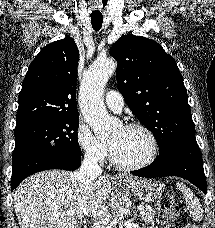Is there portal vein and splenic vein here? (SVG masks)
Instances as JSON below:
<instances>
[{
	"mask_svg": "<svg viewBox=\"0 0 215 228\" xmlns=\"http://www.w3.org/2000/svg\"><path fill=\"white\" fill-rule=\"evenodd\" d=\"M138 210L139 212H143V210H148V208H145V206H138ZM68 214H76V212H68ZM98 214L99 216H97V218H107L106 212H102V214L98 212Z\"/></svg>",
	"mask_w": 215,
	"mask_h": 228,
	"instance_id": "portal-vein-and-splenic-vein-1",
	"label": "portal vein and splenic vein"
}]
</instances>
